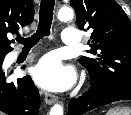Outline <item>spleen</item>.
Instances as JSON below:
<instances>
[{
	"instance_id": "obj_1",
	"label": "spleen",
	"mask_w": 131,
	"mask_h": 115,
	"mask_svg": "<svg viewBox=\"0 0 131 115\" xmlns=\"http://www.w3.org/2000/svg\"><path fill=\"white\" fill-rule=\"evenodd\" d=\"M106 115H131V109L130 108H112L110 109Z\"/></svg>"
}]
</instances>
